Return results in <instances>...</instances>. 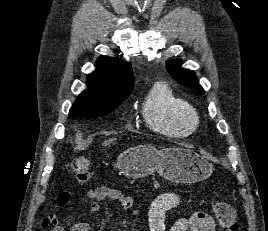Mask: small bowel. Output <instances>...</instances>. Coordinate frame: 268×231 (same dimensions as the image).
<instances>
[{"instance_id":"c3829d8e","label":"small bowel","mask_w":268,"mask_h":231,"mask_svg":"<svg viewBox=\"0 0 268 231\" xmlns=\"http://www.w3.org/2000/svg\"><path fill=\"white\" fill-rule=\"evenodd\" d=\"M86 197L92 201L90 211L93 213L100 211L101 202L104 200L114 201L125 210H132L134 205L131 197L111 186H99L90 189L86 192ZM181 202L182 199L174 193H164L154 199L149 206L148 216L145 221L147 231H166L165 220L167 212L178 207ZM65 204L66 199L62 198L60 205L63 206ZM132 215L136 219L141 218V213L138 210H133ZM49 224L53 225L52 231L90 230L87 221H82L66 228L59 223L56 214H51L43 218L41 226L47 228ZM168 231H214V222L208 214L196 212L188 218L182 217L176 220Z\"/></svg>"}]
</instances>
